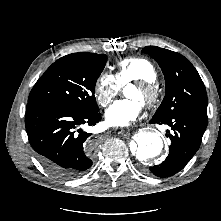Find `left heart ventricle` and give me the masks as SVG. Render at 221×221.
Masks as SVG:
<instances>
[{"label": "left heart ventricle", "instance_id": "b2bd125f", "mask_svg": "<svg viewBox=\"0 0 221 221\" xmlns=\"http://www.w3.org/2000/svg\"><path fill=\"white\" fill-rule=\"evenodd\" d=\"M126 95L130 98H134V99H137L139 100L140 102L142 101L143 99V96H142V93L141 91L136 88L135 86H129L127 89H126Z\"/></svg>", "mask_w": 221, "mask_h": 221}]
</instances>
